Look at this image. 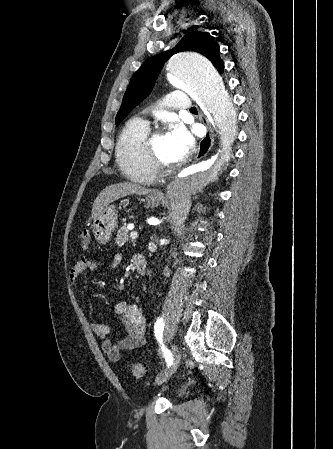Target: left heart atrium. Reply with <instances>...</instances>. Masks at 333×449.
<instances>
[{"mask_svg": "<svg viewBox=\"0 0 333 449\" xmlns=\"http://www.w3.org/2000/svg\"><path fill=\"white\" fill-rule=\"evenodd\" d=\"M166 139L175 162L182 161L192 151L194 138L181 124H173L166 133Z\"/></svg>", "mask_w": 333, "mask_h": 449, "instance_id": "1", "label": "left heart atrium"}]
</instances>
